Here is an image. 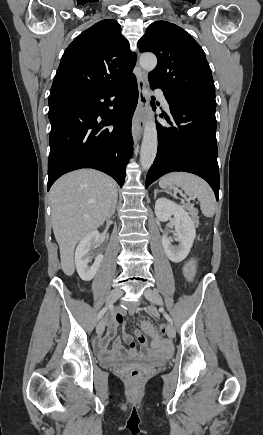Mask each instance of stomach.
Listing matches in <instances>:
<instances>
[{"instance_id": "0dacf381", "label": "stomach", "mask_w": 263, "mask_h": 435, "mask_svg": "<svg viewBox=\"0 0 263 435\" xmlns=\"http://www.w3.org/2000/svg\"><path fill=\"white\" fill-rule=\"evenodd\" d=\"M172 190L175 191V188L169 187V188L166 189L167 192H171ZM186 267L187 268H192L193 267V262L192 261H187L186 262ZM184 280H185L186 283H196L197 280H198V277H197L196 274H186L185 277H184Z\"/></svg>"}]
</instances>
